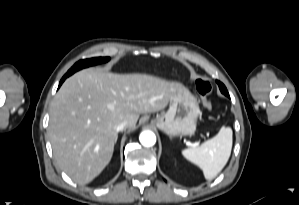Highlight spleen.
Returning a JSON list of instances; mask_svg holds the SVG:
<instances>
[{"label":"spleen","mask_w":299,"mask_h":205,"mask_svg":"<svg viewBox=\"0 0 299 205\" xmlns=\"http://www.w3.org/2000/svg\"><path fill=\"white\" fill-rule=\"evenodd\" d=\"M232 142V129L223 126L216 136L205 141L199 147L183 150L182 155L197 165L207 180H211L220 173L228 162Z\"/></svg>","instance_id":"spleen-1"}]
</instances>
